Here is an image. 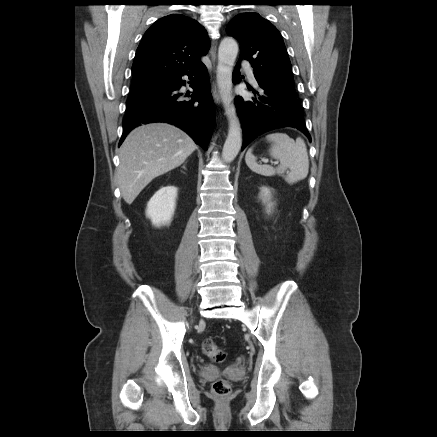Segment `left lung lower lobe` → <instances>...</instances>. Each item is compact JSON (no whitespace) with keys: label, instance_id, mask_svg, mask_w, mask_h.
I'll use <instances>...</instances> for the list:
<instances>
[{"label":"left lung lower lobe","instance_id":"0a47b994","mask_svg":"<svg viewBox=\"0 0 437 437\" xmlns=\"http://www.w3.org/2000/svg\"><path fill=\"white\" fill-rule=\"evenodd\" d=\"M239 69L240 62H237L233 72L234 84L241 81ZM257 83L258 88L252 90L255 96L251 100H245L241 96L235 98L244 134L242 150L258 135L283 126L295 127L311 140L305 126L301 104L296 96L258 80Z\"/></svg>","mask_w":437,"mask_h":437}]
</instances>
